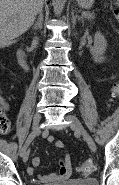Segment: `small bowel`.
Returning a JSON list of instances; mask_svg holds the SVG:
<instances>
[{"label":"small bowel","instance_id":"1","mask_svg":"<svg viewBox=\"0 0 119 185\" xmlns=\"http://www.w3.org/2000/svg\"><path fill=\"white\" fill-rule=\"evenodd\" d=\"M48 141L52 143L55 147L61 149L64 152V157L60 161L59 168L56 172L50 173L48 175H38V179L43 183H52L61 180H67L71 176V161L69 153L66 146L62 141L55 140L52 136L48 137ZM40 165V158L35 156L32 160L31 166L27 168L29 175H34L38 166Z\"/></svg>","mask_w":119,"mask_h":185}]
</instances>
